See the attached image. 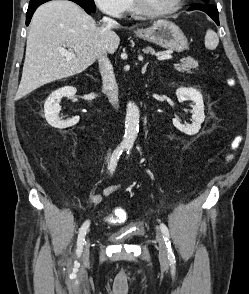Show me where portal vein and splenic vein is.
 I'll return each mask as SVG.
<instances>
[{
    "mask_svg": "<svg viewBox=\"0 0 249 294\" xmlns=\"http://www.w3.org/2000/svg\"><path fill=\"white\" fill-rule=\"evenodd\" d=\"M59 52L65 57L66 60H71L73 58H75V53L72 52L71 50H67L64 48H60ZM172 56L169 54H162L160 56H158V60H167V59H171Z\"/></svg>",
    "mask_w": 249,
    "mask_h": 294,
    "instance_id": "1",
    "label": "portal vein and splenic vein"
}]
</instances>
